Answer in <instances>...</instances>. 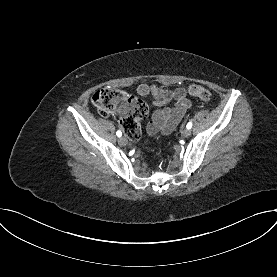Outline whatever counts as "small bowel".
Returning a JSON list of instances; mask_svg holds the SVG:
<instances>
[{"instance_id":"c3829d8e","label":"small bowel","mask_w":277,"mask_h":277,"mask_svg":"<svg viewBox=\"0 0 277 277\" xmlns=\"http://www.w3.org/2000/svg\"><path fill=\"white\" fill-rule=\"evenodd\" d=\"M136 91L157 107L147 125V132L150 135L169 134L192 105L187 98L186 90L182 87L169 89L165 86L142 83L137 86ZM171 102H174L172 106L169 105Z\"/></svg>"}]
</instances>
